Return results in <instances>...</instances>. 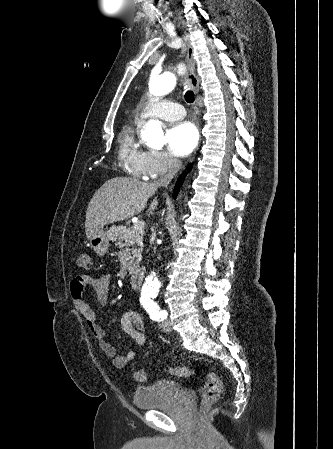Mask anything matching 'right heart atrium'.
<instances>
[{
	"instance_id": "right-heart-atrium-1",
	"label": "right heart atrium",
	"mask_w": 333,
	"mask_h": 449,
	"mask_svg": "<svg viewBox=\"0 0 333 449\" xmlns=\"http://www.w3.org/2000/svg\"><path fill=\"white\" fill-rule=\"evenodd\" d=\"M142 166L145 177L154 179L173 173L179 163L166 151L149 150L143 154Z\"/></svg>"
}]
</instances>
